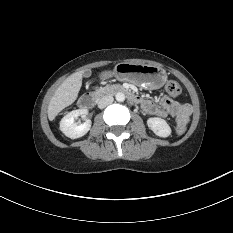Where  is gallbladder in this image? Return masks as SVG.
Wrapping results in <instances>:
<instances>
[{"label": "gallbladder", "mask_w": 233, "mask_h": 233, "mask_svg": "<svg viewBox=\"0 0 233 233\" xmlns=\"http://www.w3.org/2000/svg\"><path fill=\"white\" fill-rule=\"evenodd\" d=\"M83 76L84 77H90L91 76V70L90 69H86L83 71Z\"/></svg>", "instance_id": "bac80fb5"}]
</instances>
